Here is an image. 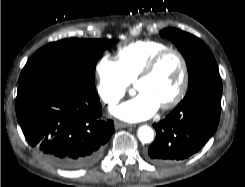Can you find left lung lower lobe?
I'll return each mask as SVG.
<instances>
[{
  "mask_svg": "<svg viewBox=\"0 0 245 187\" xmlns=\"http://www.w3.org/2000/svg\"><path fill=\"white\" fill-rule=\"evenodd\" d=\"M221 94V80L186 94L164 120L153 124L156 138L147 158L158 164H173L198 152L217 130Z\"/></svg>",
  "mask_w": 245,
  "mask_h": 187,
  "instance_id": "1",
  "label": "left lung lower lobe"
}]
</instances>
